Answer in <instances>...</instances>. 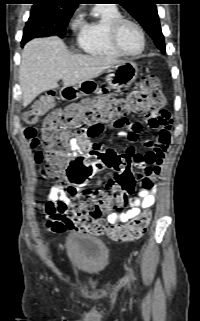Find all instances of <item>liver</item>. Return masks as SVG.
<instances>
[{"instance_id":"liver-1","label":"liver","mask_w":200,"mask_h":321,"mask_svg":"<svg viewBox=\"0 0 200 321\" xmlns=\"http://www.w3.org/2000/svg\"><path fill=\"white\" fill-rule=\"evenodd\" d=\"M122 61L98 55H73L58 37L37 38L28 42L22 51L19 81L23 106L39 94L58 87L74 86L98 77Z\"/></svg>"}]
</instances>
